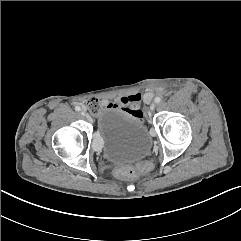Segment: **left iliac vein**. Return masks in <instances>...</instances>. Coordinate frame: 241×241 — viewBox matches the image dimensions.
I'll return each instance as SVG.
<instances>
[{
    "label": "left iliac vein",
    "mask_w": 241,
    "mask_h": 241,
    "mask_svg": "<svg viewBox=\"0 0 241 241\" xmlns=\"http://www.w3.org/2000/svg\"><path fill=\"white\" fill-rule=\"evenodd\" d=\"M155 107H156V105H155L154 103H152V104L150 105V110L153 111V110L155 109Z\"/></svg>",
    "instance_id": "left-iliac-vein-1"
}]
</instances>
